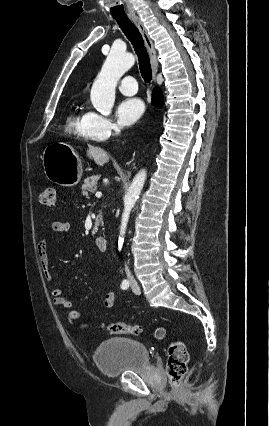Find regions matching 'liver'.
Here are the masks:
<instances>
[{
    "instance_id": "6515ba94",
    "label": "liver",
    "mask_w": 269,
    "mask_h": 426,
    "mask_svg": "<svg viewBox=\"0 0 269 426\" xmlns=\"http://www.w3.org/2000/svg\"><path fill=\"white\" fill-rule=\"evenodd\" d=\"M87 157L93 159L97 165L103 166L109 161L108 153L98 146L88 145Z\"/></svg>"
}]
</instances>
